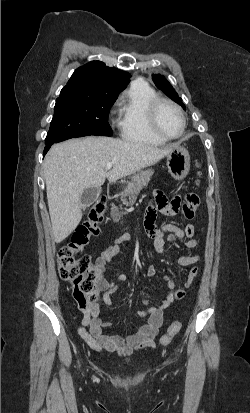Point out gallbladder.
<instances>
[{
    "label": "gallbladder",
    "mask_w": 250,
    "mask_h": 413,
    "mask_svg": "<svg viewBox=\"0 0 250 413\" xmlns=\"http://www.w3.org/2000/svg\"><path fill=\"white\" fill-rule=\"evenodd\" d=\"M101 193V188L90 187L86 188L81 195V206L86 208L92 205L99 197Z\"/></svg>",
    "instance_id": "gallbladder-1"
}]
</instances>
